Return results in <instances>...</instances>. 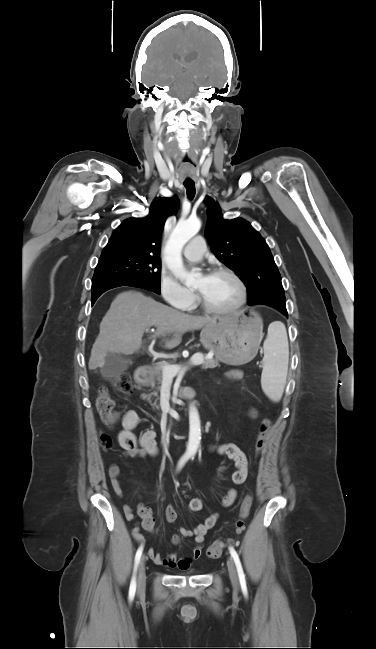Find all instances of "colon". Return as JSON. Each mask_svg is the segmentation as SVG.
I'll list each match as a JSON object with an SVG mask.
<instances>
[{
	"label": "colon",
	"mask_w": 376,
	"mask_h": 649,
	"mask_svg": "<svg viewBox=\"0 0 376 649\" xmlns=\"http://www.w3.org/2000/svg\"><path fill=\"white\" fill-rule=\"evenodd\" d=\"M112 384L113 387L121 393H129L132 389L131 380L126 374H121L115 377L112 380ZM96 408L106 426L111 427L116 423L118 414L114 410V402L110 397L107 388L105 387H102L99 391V395L96 399ZM270 429L271 421L268 418L261 419L258 424V435L256 441V447L259 452L262 451L265 446V442ZM101 440L104 446L109 447L111 445V440L108 435L102 434ZM252 504L253 496L251 494H247L243 499L238 519L235 524L236 532L239 533L244 529L245 519L249 516ZM224 548L225 542L223 540H217L209 546L207 554L211 558H218L223 553Z\"/></svg>",
	"instance_id": "obj_1"
}]
</instances>
